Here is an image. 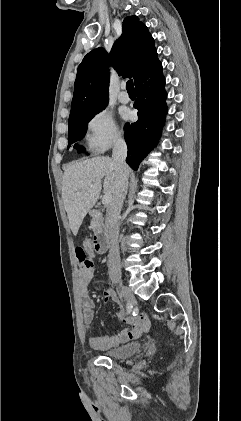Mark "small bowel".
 Instances as JSON below:
<instances>
[{
    "instance_id": "small-bowel-1",
    "label": "small bowel",
    "mask_w": 241,
    "mask_h": 421,
    "mask_svg": "<svg viewBox=\"0 0 241 421\" xmlns=\"http://www.w3.org/2000/svg\"><path fill=\"white\" fill-rule=\"evenodd\" d=\"M93 264L88 266L82 263L79 267L77 278L79 285V298L83 307V320L86 327V334L88 335L91 347L97 350H107L117 347L121 344L127 343L130 340L139 338L143 333L150 328V320L146 314L142 313L137 316L130 317L127 320L128 326L122 330H118L114 334H105L102 336H89L90 325L94 321V301L90 295L88 285L94 277ZM105 301H118V296L115 291L110 288L103 290Z\"/></svg>"
}]
</instances>
